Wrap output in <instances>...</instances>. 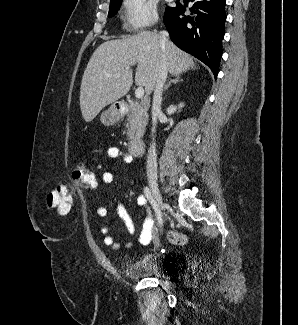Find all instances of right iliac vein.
I'll return each mask as SVG.
<instances>
[{
	"mask_svg": "<svg viewBox=\"0 0 298 325\" xmlns=\"http://www.w3.org/2000/svg\"><path fill=\"white\" fill-rule=\"evenodd\" d=\"M149 185H150L152 197H153L158 209L162 210L164 207L163 200H162V196L160 194V190H159L158 183H157L156 179L150 178Z\"/></svg>",
	"mask_w": 298,
	"mask_h": 325,
	"instance_id": "1",
	"label": "right iliac vein"
}]
</instances>
